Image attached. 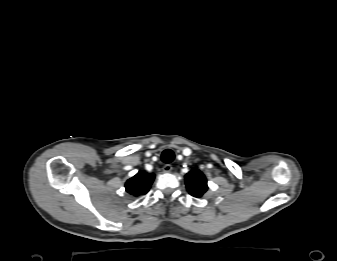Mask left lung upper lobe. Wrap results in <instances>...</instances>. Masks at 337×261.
Here are the masks:
<instances>
[{"label":"left lung upper lobe","instance_id":"5c2ea615","mask_svg":"<svg viewBox=\"0 0 337 261\" xmlns=\"http://www.w3.org/2000/svg\"><path fill=\"white\" fill-rule=\"evenodd\" d=\"M185 183L187 191L197 198L201 197L208 189L204 174L196 168L185 175Z\"/></svg>","mask_w":337,"mask_h":261}]
</instances>
